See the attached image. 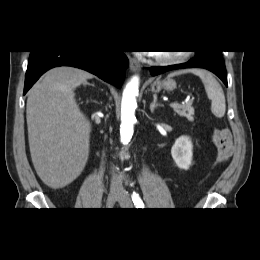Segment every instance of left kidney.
<instances>
[{"mask_svg": "<svg viewBox=\"0 0 260 260\" xmlns=\"http://www.w3.org/2000/svg\"><path fill=\"white\" fill-rule=\"evenodd\" d=\"M193 145L189 137H179L171 148V155L180 169L188 170L192 163Z\"/></svg>", "mask_w": 260, "mask_h": 260, "instance_id": "left-kidney-1", "label": "left kidney"}]
</instances>
